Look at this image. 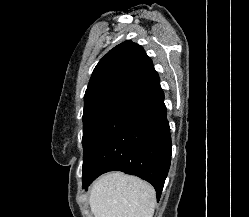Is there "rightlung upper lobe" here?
Masks as SVG:
<instances>
[{
    "instance_id": "cb5924a9",
    "label": "right lung upper lobe",
    "mask_w": 249,
    "mask_h": 217,
    "mask_svg": "<svg viewBox=\"0 0 249 217\" xmlns=\"http://www.w3.org/2000/svg\"><path fill=\"white\" fill-rule=\"evenodd\" d=\"M154 69L144 49L125 41L111 49L97 64L84 100L107 92H126Z\"/></svg>"
}]
</instances>
